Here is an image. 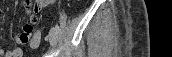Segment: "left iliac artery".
<instances>
[{
  "instance_id": "1",
  "label": "left iliac artery",
  "mask_w": 172,
  "mask_h": 57,
  "mask_svg": "<svg viewBox=\"0 0 172 57\" xmlns=\"http://www.w3.org/2000/svg\"><path fill=\"white\" fill-rule=\"evenodd\" d=\"M55 28H56L58 31L60 30V28H59V26H58V25H56V26H55Z\"/></svg>"
}]
</instances>
